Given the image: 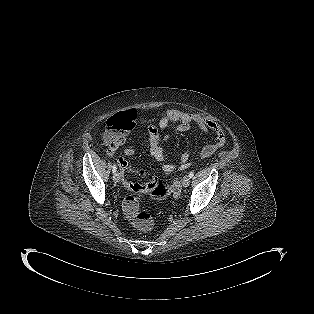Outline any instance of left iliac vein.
<instances>
[{
	"mask_svg": "<svg viewBox=\"0 0 314 314\" xmlns=\"http://www.w3.org/2000/svg\"><path fill=\"white\" fill-rule=\"evenodd\" d=\"M190 184V177L188 175H186L183 180H182V185L183 187H188Z\"/></svg>",
	"mask_w": 314,
	"mask_h": 314,
	"instance_id": "4c4485c4",
	"label": "left iliac vein"
}]
</instances>
